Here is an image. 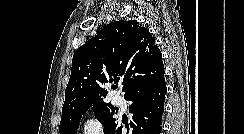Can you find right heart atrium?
<instances>
[{
  "instance_id": "obj_1",
  "label": "right heart atrium",
  "mask_w": 244,
  "mask_h": 134,
  "mask_svg": "<svg viewBox=\"0 0 244 134\" xmlns=\"http://www.w3.org/2000/svg\"><path fill=\"white\" fill-rule=\"evenodd\" d=\"M80 134H104L103 124L97 117H90L84 121Z\"/></svg>"
}]
</instances>
